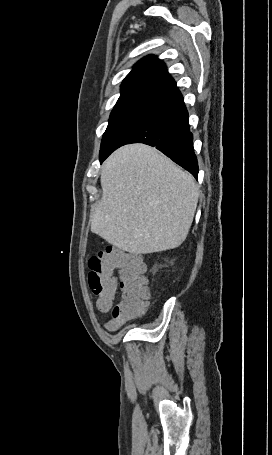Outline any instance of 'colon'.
Returning <instances> with one entry per match:
<instances>
[{
	"mask_svg": "<svg viewBox=\"0 0 272 455\" xmlns=\"http://www.w3.org/2000/svg\"><path fill=\"white\" fill-rule=\"evenodd\" d=\"M88 267V283L96 296L97 308L111 311L110 328L143 314L150 294L143 277L145 266L138 255L109 246L92 256ZM118 289L122 296L115 302Z\"/></svg>",
	"mask_w": 272,
	"mask_h": 455,
	"instance_id": "colon-1",
	"label": "colon"
}]
</instances>
